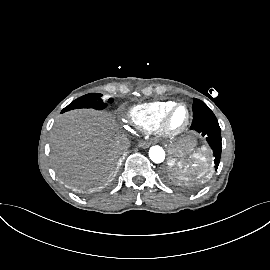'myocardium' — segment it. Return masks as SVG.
<instances>
[{"label": "myocardium", "mask_w": 270, "mask_h": 270, "mask_svg": "<svg viewBox=\"0 0 270 270\" xmlns=\"http://www.w3.org/2000/svg\"><path fill=\"white\" fill-rule=\"evenodd\" d=\"M179 107H184L186 109V119L179 128L174 129L171 127V118L174 112ZM190 120H191V112L188 105L183 102L175 103L163 116L159 128L164 136L174 139L181 136L187 130L188 126L190 125Z\"/></svg>", "instance_id": "myocardium-1"}]
</instances>
